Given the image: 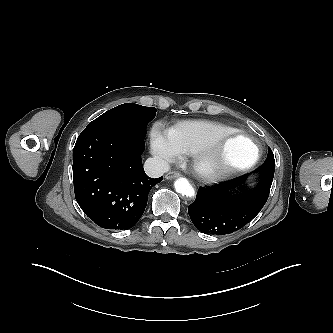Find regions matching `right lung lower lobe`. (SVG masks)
Here are the masks:
<instances>
[{"mask_svg":"<svg viewBox=\"0 0 333 333\" xmlns=\"http://www.w3.org/2000/svg\"><path fill=\"white\" fill-rule=\"evenodd\" d=\"M144 138L119 131H83L74 146L75 198L106 229L132 228L144 213L148 192L162 181L144 172Z\"/></svg>","mask_w":333,"mask_h":333,"instance_id":"obj_1","label":"right lung lower lobe"}]
</instances>
